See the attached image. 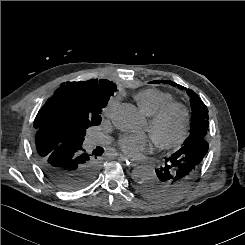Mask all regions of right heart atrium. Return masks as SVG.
Wrapping results in <instances>:
<instances>
[{
  "instance_id": "d8ad5b80",
  "label": "right heart atrium",
  "mask_w": 245,
  "mask_h": 245,
  "mask_svg": "<svg viewBox=\"0 0 245 245\" xmlns=\"http://www.w3.org/2000/svg\"><path fill=\"white\" fill-rule=\"evenodd\" d=\"M118 104V100L116 98H111L105 108V114L107 116H110L112 112L114 111L115 107Z\"/></svg>"
}]
</instances>
